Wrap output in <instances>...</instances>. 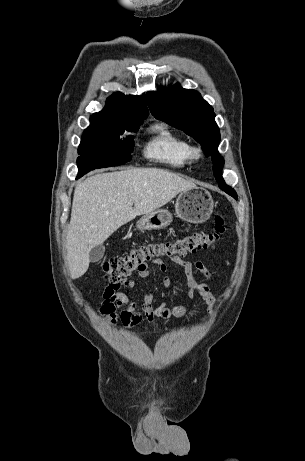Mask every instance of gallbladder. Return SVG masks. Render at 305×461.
<instances>
[{"mask_svg":"<svg viewBox=\"0 0 305 461\" xmlns=\"http://www.w3.org/2000/svg\"><path fill=\"white\" fill-rule=\"evenodd\" d=\"M104 253H105V247L103 245L95 246L94 248L91 249L89 253L90 262L95 263V262L100 261Z\"/></svg>","mask_w":305,"mask_h":461,"instance_id":"obj_1","label":"gallbladder"}]
</instances>
